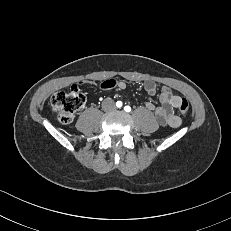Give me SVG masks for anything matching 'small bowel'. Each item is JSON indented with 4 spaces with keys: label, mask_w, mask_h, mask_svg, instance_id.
I'll return each instance as SVG.
<instances>
[{
    "label": "small bowel",
    "mask_w": 231,
    "mask_h": 231,
    "mask_svg": "<svg viewBox=\"0 0 231 231\" xmlns=\"http://www.w3.org/2000/svg\"><path fill=\"white\" fill-rule=\"evenodd\" d=\"M101 87L104 89H112L115 87L119 89H125L126 84L123 81L107 79L102 82ZM144 89L150 96H155L157 94V85L154 81H145ZM181 99V96L174 94L169 87L164 86L162 87L161 93L159 95V106H156L152 102H145L144 105L148 110L155 114L156 119L162 126L177 128L181 124V119L174 112V109L179 107Z\"/></svg>",
    "instance_id": "small-bowel-1"
}]
</instances>
